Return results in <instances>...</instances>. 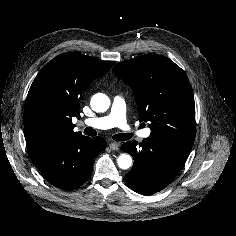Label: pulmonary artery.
<instances>
[{
  "instance_id": "1",
  "label": "pulmonary artery",
  "mask_w": 236,
  "mask_h": 236,
  "mask_svg": "<svg viewBox=\"0 0 236 236\" xmlns=\"http://www.w3.org/2000/svg\"><path fill=\"white\" fill-rule=\"evenodd\" d=\"M84 123L97 129H110L112 127H119L131 132L134 131L127 123L126 101L121 96H116L113 99L112 106L108 114L101 117L86 119L84 120ZM135 133L139 137L145 139L150 136L151 131L149 129H144Z\"/></svg>"
}]
</instances>
